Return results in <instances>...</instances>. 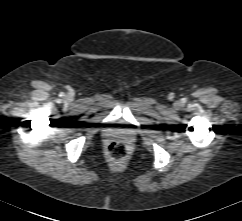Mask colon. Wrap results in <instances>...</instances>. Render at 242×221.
<instances>
[{
  "mask_svg": "<svg viewBox=\"0 0 242 221\" xmlns=\"http://www.w3.org/2000/svg\"><path fill=\"white\" fill-rule=\"evenodd\" d=\"M109 155L116 160L124 159L127 156V148L124 143L121 142H111L108 147Z\"/></svg>",
  "mask_w": 242,
  "mask_h": 221,
  "instance_id": "colon-1",
  "label": "colon"
}]
</instances>
